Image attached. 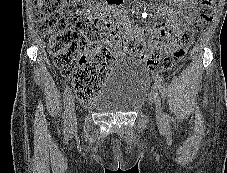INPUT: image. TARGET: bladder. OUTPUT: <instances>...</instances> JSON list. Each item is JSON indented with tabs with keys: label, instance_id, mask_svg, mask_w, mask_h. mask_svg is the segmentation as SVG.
I'll return each mask as SVG.
<instances>
[{
	"label": "bladder",
	"instance_id": "bladder-1",
	"mask_svg": "<svg viewBox=\"0 0 227 173\" xmlns=\"http://www.w3.org/2000/svg\"><path fill=\"white\" fill-rule=\"evenodd\" d=\"M150 84L147 68L135 58H126L109 72L92 106L103 113H129L146 99Z\"/></svg>",
	"mask_w": 227,
	"mask_h": 173
}]
</instances>
